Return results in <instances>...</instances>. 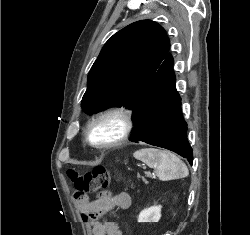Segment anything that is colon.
I'll return each instance as SVG.
<instances>
[{
  "label": "colon",
  "instance_id": "colon-1",
  "mask_svg": "<svg viewBox=\"0 0 250 235\" xmlns=\"http://www.w3.org/2000/svg\"><path fill=\"white\" fill-rule=\"evenodd\" d=\"M67 175L80 199L83 194L104 191L111 179V172L103 166L95 167L85 173H79L74 169H70Z\"/></svg>",
  "mask_w": 250,
  "mask_h": 235
}]
</instances>
